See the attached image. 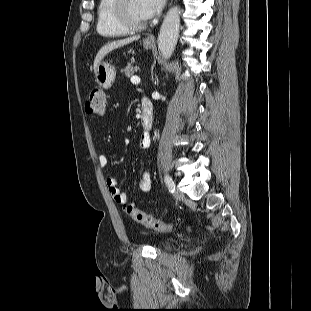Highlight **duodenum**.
Here are the masks:
<instances>
[{"mask_svg":"<svg viewBox=\"0 0 311 311\" xmlns=\"http://www.w3.org/2000/svg\"><path fill=\"white\" fill-rule=\"evenodd\" d=\"M143 113L141 116V124L145 132H149L153 125L152 107L148 99L142 100Z\"/></svg>","mask_w":311,"mask_h":311,"instance_id":"obj_1","label":"duodenum"}]
</instances>
